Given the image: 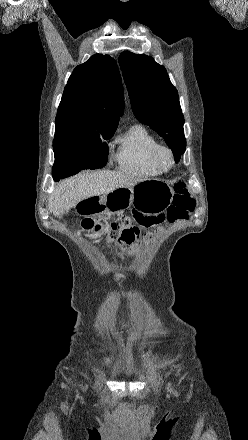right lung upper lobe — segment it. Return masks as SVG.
I'll list each match as a JSON object with an SVG mask.
<instances>
[{"label":"right lung upper lobe","instance_id":"cb5924a9","mask_svg":"<svg viewBox=\"0 0 248 440\" xmlns=\"http://www.w3.org/2000/svg\"><path fill=\"white\" fill-rule=\"evenodd\" d=\"M123 96L117 63L109 55L95 54L77 66L58 107L53 147L94 132L116 130L124 110Z\"/></svg>","mask_w":248,"mask_h":440}]
</instances>
